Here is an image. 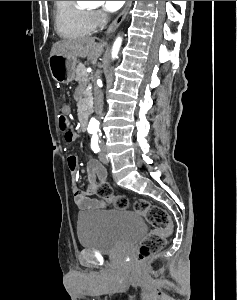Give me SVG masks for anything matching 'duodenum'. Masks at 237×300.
Masks as SVG:
<instances>
[{
    "label": "duodenum",
    "instance_id": "obj_1",
    "mask_svg": "<svg viewBox=\"0 0 237 300\" xmlns=\"http://www.w3.org/2000/svg\"><path fill=\"white\" fill-rule=\"evenodd\" d=\"M87 126H88L87 116L82 113L80 115V119H79V128H80L81 131H86Z\"/></svg>",
    "mask_w": 237,
    "mask_h": 300
}]
</instances>
